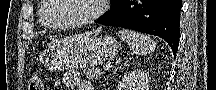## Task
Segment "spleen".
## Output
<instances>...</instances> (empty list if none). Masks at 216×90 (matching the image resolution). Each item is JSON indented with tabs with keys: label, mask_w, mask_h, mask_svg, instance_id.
Masks as SVG:
<instances>
[{
	"label": "spleen",
	"mask_w": 216,
	"mask_h": 90,
	"mask_svg": "<svg viewBox=\"0 0 216 90\" xmlns=\"http://www.w3.org/2000/svg\"><path fill=\"white\" fill-rule=\"evenodd\" d=\"M119 38L128 44L132 54L136 56H146L155 50V42L149 36L133 32V30H119Z\"/></svg>",
	"instance_id": "obj_1"
}]
</instances>
